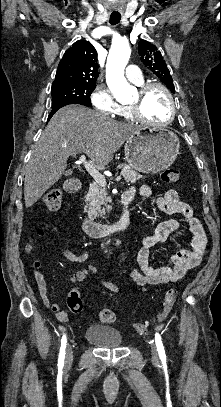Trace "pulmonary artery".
Listing matches in <instances>:
<instances>
[{"instance_id":"obj_1","label":"pulmonary artery","mask_w":221,"mask_h":407,"mask_svg":"<svg viewBox=\"0 0 221 407\" xmlns=\"http://www.w3.org/2000/svg\"><path fill=\"white\" fill-rule=\"evenodd\" d=\"M126 76L130 81L136 84H141L143 82L142 73L136 65L127 66Z\"/></svg>"}]
</instances>
